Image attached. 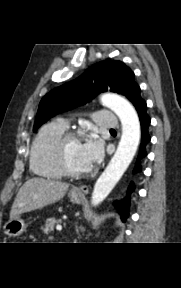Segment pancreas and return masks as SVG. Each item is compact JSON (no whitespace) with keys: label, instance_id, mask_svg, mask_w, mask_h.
Segmentation results:
<instances>
[{"label":"pancreas","instance_id":"1","mask_svg":"<svg viewBox=\"0 0 181 288\" xmlns=\"http://www.w3.org/2000/svg\"><path fill=\"white\" fill-rule=\"evenodd\" d=\"M61 220H57L56 218L52 217L46 220L45 226L42 228L43 232L45 234H48L50 232L54 231V225L57 223H60Z\"/></svg>","mask_w":181,"mask_h":288}]
</instances>
